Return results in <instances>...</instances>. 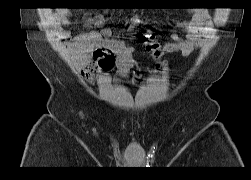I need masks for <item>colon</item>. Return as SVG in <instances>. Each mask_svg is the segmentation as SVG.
<instances>
[{
    "label": "colon",
    "instance_id": "obj_1",
    "mask_svg": "<svg viewBox=\"0 0 251 180\" xmlns=\"http://www.w3.org/2000/svg\"><path fill=\"white\" fill-rule=\"evenodd\" d=\"M139 38L146 44L147 50L155 57L160 58L162 49L155 37L148 33L140 34Z\"/></svg>",
    "mask_w": 251,
    "mask_h": 180
}]
</instances>
